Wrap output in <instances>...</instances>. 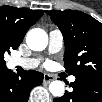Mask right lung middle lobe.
Segmentation results:
<instances>
[{
	"mask_svg": "<svg viewBox=\"0 0 102 102\" xmlns=\"http://www.w3.org/2000/svg\"><path fill=\"white\" fill-rule=\"evenodd\" d=\"M10 46H7L4 43H0V69H4L6 68V63L3 60L4 59V54L5 53H9L10 54ZM12 49H16V48H12Z\"/></svg>",
	"mask_w": 102,
	"mask_h": 102,
	"instance_id": "dd1d6c3e",
	"label": "right lung middle lobe"
}]
</instances>
